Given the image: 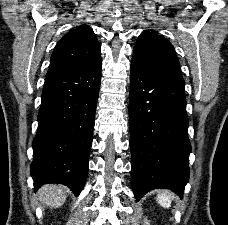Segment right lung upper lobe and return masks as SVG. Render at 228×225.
<instances>
[{"mask_svg": "<svg viewBox=\"0 0 228 225\" xmlns=\"http://www.w3.org/2000/svg\"><path fill=\"white\" fill-rule=\"evenodd\" d=\"M101 47L91 27L80 25L57 43L46 77L80 68L100 57Z\"/></svg>", "mask_w": 228, "mask_h": 225, "instance_id": "obj_1", "label": "right lung upper lobe"}]
</instances>
